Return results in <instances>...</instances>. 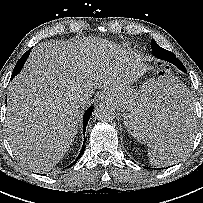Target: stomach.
I'll list each match as a JSON object with an SVG mask.
<instances>
[{
	"mask_svg": "<svg viewBox=\"0 0 203 203\" xmlns=\"http://www.w3.org/2000/svg\"><path fill=\"white\" fill-rule=\"evenodd\" d=\"M109 98V97H108ZM115 104L122 107L126 110V113L124 115L126 121L125 124L127 128L129 129V123L131 121V116L134 113L135 109L138 106V103L140 102V92L137 89L134 88H126L125 90L121 92H117L111 99ZM159 116L157 114H154L151 116V121L153 125L158 124V118ZM130 131V130H129ZM135 132H140L139 130H135ZM144 140H149L147 136L144 137Z\"/></svg>",
	"mask_w": 203,
	"mask_h": 203,
	"instance_id": "1",
	"label": "stomach"
}]
</instances>
